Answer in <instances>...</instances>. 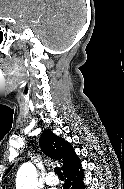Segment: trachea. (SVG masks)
Wrapping results in <instances>:
<instances>
[{"label": "trachea", "mask_w": 124, "mask_h": 189, "mask_svg": "<svg viewBox=\"0 0 124 189\" xmlns=\"http://www.w3.org/2000/svg\"><path fill=\"white\" fill-rule=\"evenodd\" d=\"M54 172H55V174H56L57 176H59V177H64V176H63V173H62V171H61V169H60L58 166H56V167L54 168Z\"/></svg>", "instance_id": "3493384b"}]
</instances>
